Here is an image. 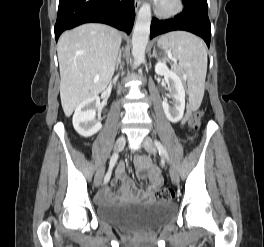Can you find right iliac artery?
Instances as JSON below:
<instances>
[{"mask_svg": "<svg viewBox=\"0 0 264 247\" xmlns=\"http://www.w3.org/2000/svg\"><path fill=\"white\" fill-rule=\"evenodd\" d=\"M117 158H118V155L115 153L112 155L111 159H110V165H109V169H108V172L107 174L105 175V178H104V183H108L110 178H111V174H112V170L117 162Z\"/></svg>", "mask_w": 264, "mask_h": 247, "instance_id": "right-iliac-artery-1", "label": "right iliac artery"}]
</instances>
